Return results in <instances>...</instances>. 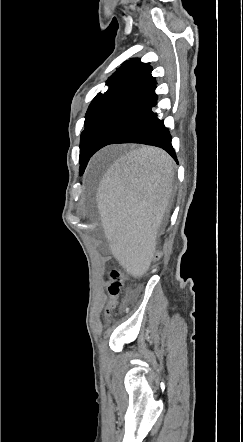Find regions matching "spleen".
Here are the masks:
<instances>
[{
	"instance_id": "obj_1",
	"label": "spleen",
	"mask_w": 243,
	"mask_h": 442,
	"mask_svg": "<svg viewBox=\"0 0 243 442\" xmlns=\"http://www.w3.org/2000/svg\"><path fill=\"white\" fill-rule=\"evenodd\" d=\"M171 168V159L163 151L142 147L118 159L102 179L104 193L99 194L98 209L105 217L99 218V225L115 231L124 268H142L147 263L169 202V193L136 192H169Z\"/></svg>"
}]
</instances>
